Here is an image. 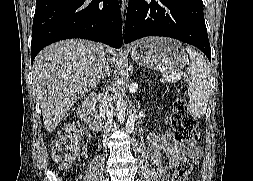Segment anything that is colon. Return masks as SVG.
Listing matches in <instances>:
<instances>
[{
	"label": "colon",
	"mask_w": 253,
	"mask_h": 181,
	"mask_svg": "<svg viewBox=\"0 0 253 181\" xmlns=\"http://www.w3.org/2000/svg\"><path fill=\"white\" fill-rule=\"evenodd\" d=\"M171 125L177 141L189 143L197 139V121L190 114L186 99L179 98L175 100L171 115ZM77 151L78 135L74 125L70 124L62 130L60 138L54 145L53 155L56 161L68 166L74 162ZM191 169L192 163L190 160H180L171 181H185Z\"/></svg>",
	"instance_id": "obj_1"
}]
</instances>
